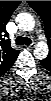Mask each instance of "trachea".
Masks as SVG:
<instances>
[{"label":"trachea","instance_id":"obj_1","mask_svg":"<svg viewBox=\"0 0 51 101\" xmlns=\"http://www.w3.org/2000/svg\"><path fill=\"white\" fill-rule=\"evenodd\" d=\"M32 43L31 39L30 38H27V37H22V36H18L16 38V44L17 45H30Z\"/></svg>","mask_w":51,"mask_h":101}]
</instances>
